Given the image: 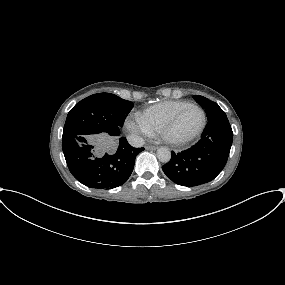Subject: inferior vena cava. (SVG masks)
Segmentation results:
<instances>
[{
	"mask_svg": "<svg viewBox=\"0 0 285 285\" xmlns=\"http://www.w3.org/2000/svg\"><path fill=\"white\" fill-rule=\"evenodd\" d=\"M127 141L131 146H133L135 148H139V147H142L144 145L143 138H141L135 134L128 135Z\"/></svg>",
	"mask_w": 285,
	"mask_h": 285,
	"instance_id": "602c4592",
	"label": "inferior vena cava"
}]
</instances>
